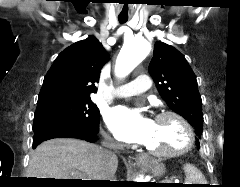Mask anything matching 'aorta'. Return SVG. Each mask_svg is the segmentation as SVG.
I'll return each instance as SVG.
<instances>
[{
  "instance_id": "obj_1",
  "label": "aorta",
  "mask_w": 240,
  "mask_h": 187,
  "mask_svg": "<svg viewBox=\"0 0 240 187\" xmlns=\"http://www.w3.org/2000/svg\"><path fill=\"white\" fill-rule=\"evenodd\" d=\"M150 43L141 37H135L125 43L121 49L115 66L117 77H125L148 55ZM136 182H145L143 177L136 179Z\"/></svg>"
}]
</instances>
